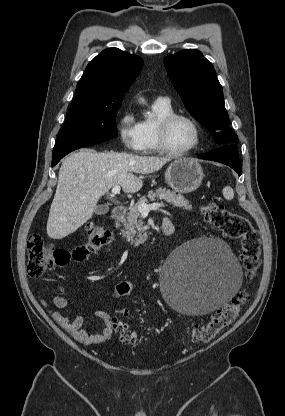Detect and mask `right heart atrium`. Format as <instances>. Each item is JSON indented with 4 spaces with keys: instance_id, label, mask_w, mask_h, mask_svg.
I'll return each instance as SVG.
<instances>
[{
    "instance_id": "1",
    "label": "right heart atrium",
    "mask_w": 285,
    "mask_h": 416,
    "mask_svg": "<svg viewBox=\"0 0 285 416\" xmlns=\"http://www.w3.org/2000/svg\"><path fill=\"white\" fill-rule=\"evenodd\" d=\"M118 131L120 141L127 150L133 152L143 150V137L140 130V120L133 109L128 108L121 112Z\"/></svg>"
}]
</instances>
